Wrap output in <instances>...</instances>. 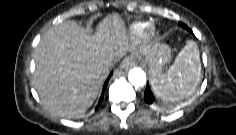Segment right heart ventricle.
<instances>
[{
    "instance_id": "obj_1",
    "label": "right heart ventricle",
    "mask_w": 236,
    "mask_h": 135,
    "mask_svg": "<svg viewBox=\"0 0 236 135\" xmlns=\"http://www.w3.org/2000/svg\"><path fill=\"white\" fill-rule=\"evenodd\" d=\"M145 26L146 23L144 22L141 21L133 22L127 27L126 33L130 37L139 36L144 32Z\"/></svg>"
}]
</instances>
